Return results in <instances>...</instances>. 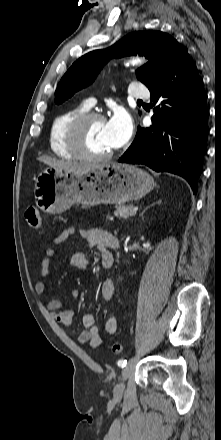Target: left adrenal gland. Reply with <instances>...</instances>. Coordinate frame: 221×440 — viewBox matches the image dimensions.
I'll list each match as a JSON object with an SVG mask.
<instances>
[{"instance_id": "1", "label": "left adrenal gland", "mask_w": 221, "mask_h": 440, "mask_svg": "<svg viewBox=\"0 0 221 440\" xmlns=\"http://www.w3.org/2000/svg\"><path fill=\"white\" fill-rule=\"evenodd\" d=\"M162 202V200H158L156 203H153L152 205H150L149 207H147L146 209H144V211L142 212L141 216L143 217L145 211L150 208L151 206H154L155 204H160Z\"/></svg>"}]
</instances>
